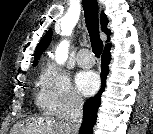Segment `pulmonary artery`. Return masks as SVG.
<instances>
[{
	"instance_id": "pulmonary-artery-1",
	"label": "pulmonary artery",
	"mask_w": 153,
	"mask_h": 134,
	"mask_svg": "<svg viewBox=\"0 0 153 134\" xmlns=\"http://www.w3.org/2000/svg\"><path fill=\"white\" fill-rule=\"evenodd\" d=\"M77 62L80 66L89 68L94 65L95 59L92 52L86 48L81 49L77 54Z\"/></svg>"
}]
</instances>
